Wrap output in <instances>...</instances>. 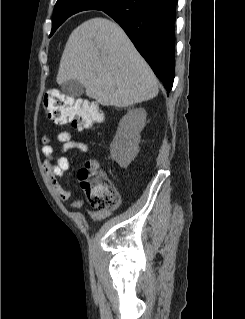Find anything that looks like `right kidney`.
<instances>
[{
	"label": "right kidney",
	"mask_w": 245,
	"mask_h": 319,
	"mask_svg": "<svg viewBox=\"0 0 245 319\" xmlns=\"http://www.w3.org/2000/svg\"><path fill=\"white\" fill-rule=\"evenodd\" d=\"M146 111L143 108L132 109L121 119L110 153L120 167L127 168L139 152L140 133L146 122Z\"/></svg>",
	"instance_id": "1"
}]
</instances>
